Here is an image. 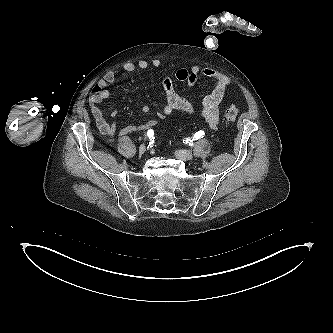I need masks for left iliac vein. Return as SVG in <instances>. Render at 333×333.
I'll return each instance as SVG.
<instances>
[{
	"label": "left iliac vein",
	"mask_w": 333,
	"mask_h": 333,
	"mask_svg": "<svg viewBox=\"0 0 333 333\" xmlns=\"http://www.w3.org/2000/svg\"><path fill=\"white\" fill-rule=\"evenodd\" d=\"M175 156L183 161L191 160L193 158L192 152L187 150H177L175 152Z\"/></svg>",
	"instance_id": "left-iliac-vein-1"
}]
</instances>
